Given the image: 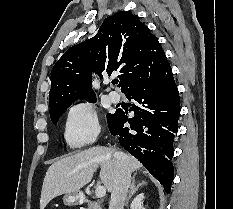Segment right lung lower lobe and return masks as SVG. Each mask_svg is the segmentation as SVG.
I'll list each match as a JSON object with an SVG mask.
<instances>
[{"instance_id": "1", "label": "right lung lower lobe", "mask_w": 233, "mask_h": 209, "mask_svg": "<svg viewBox=\"0 0 233 209\" xmlns=\"http://www.w3.org/2000/svg\"><path fill=\"white\" fill-rule=\"evenodd\" d=\"M127 99H134L130 111L117 110L108 123L110 133L119 136V143L136 157L170 193L174 169L173 140L178 131L180 99L170 64L153 80L129 91ZM128 122L129 127H124Z\"/></svg>"}]
</instances>
